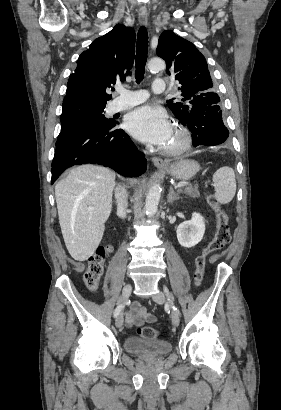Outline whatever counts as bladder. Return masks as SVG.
I'll list each match as a JSON object with an SVG mask.
<instances>
[{"label": "bladder", "mask_w": 281, "mask_h": 410, "mask_svg": "<svg viewBox=\"0 0 281 410\" xmlns=\"http://www.w3.org/2000/svg\"><path fill=\"white\" fill-rule=\"evenodd\" d=\"M124 349L131 355L145 359H154L170 353L172 345L164 340L142 339L131 336L124 340Z\"/></svg>", "instance_id": "1"}]
</instances>
